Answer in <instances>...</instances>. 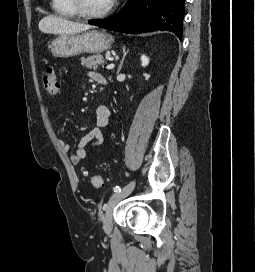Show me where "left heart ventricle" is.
Returning a JSON list of instances; mask_svg holds the SVG:
<instances>
[{
  "instance_id": "b2bd125f",
  "label": "left heart ventricle",
  "mask_w": 255,
  "mask_h": 272,
  "mask_svg": "<svg viewBox=\"0 0 255 272\" xmlns=\"http://www.w3.org/2000/svg\"><path fill=\"white\" fill-rule=\"evenodd\" d=\"M111 0H83L84 7L90 12H101L110 5Z\"/></svg>"
}]
</instances>
